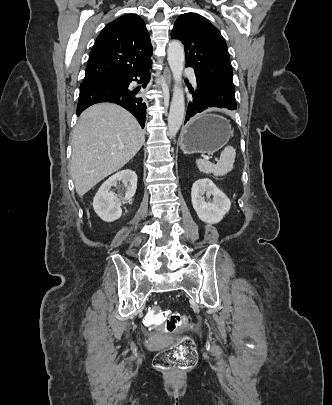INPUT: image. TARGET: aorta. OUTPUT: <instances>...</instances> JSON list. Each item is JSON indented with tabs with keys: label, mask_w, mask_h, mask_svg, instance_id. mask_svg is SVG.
I'll list each match as a JSON object with an SVG mask.
<instances>
[{
	"label": "aorta",
	"mask_w": 332,
	"mask_h": 405,
	"mask_svg": "<svg viewBox=\"0 0 332 405\" xmlns=\"http://www.w3.org/2000/svg\"><path fill=\"white\" fill-rule=\"evenodd\" d=\"M167 56L175 81L168 116V135L172 137L178 133L185 116V98L183 89L180 86L185 62V52L182 43L178 41L169 43Z\"/></svg>",
	"instance_id": "762f6f07"
}]
</instances>
